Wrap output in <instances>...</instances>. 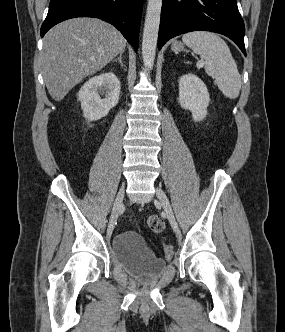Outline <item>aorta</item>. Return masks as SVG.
<instances>
[{
    "instance_id": "obj_1",
    "label": "aorta",
    "mask_w": 285,
    "mask_h": 332,
    "mask_svg": "<svg viewBox=\"0 0 285 332\" xmlns=\"http://www.w3.org/2000/svg\"><path fill=\"white\" fill-rule=\"evenodd\" d=\"M162 0H148L142 38V58L144 67L151 69L155 60Z\"/></svg>"
}]
</instances>
